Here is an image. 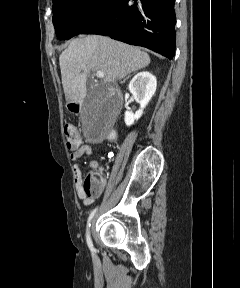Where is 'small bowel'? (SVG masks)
I'll list each match as a JSON object with an SVG mask.
<instances>
[{
    "label": "small bowel",
    "instance_id": "small-bowel-1",
    "mask_svg": "<svg viewBox=\"0 0 240 288\" xmlns=\"http://www.w3.org/2000/svg\"><path fill=\"white\" fill-rule=\"evenodd\" d=\"M91 154H92V147L87 144L81 145L70 154V159L73 163L72 170L74 175V186L76 189V193L78 197L83 200L86 206L92 205L94 203L95 198L101 195L106 186L103 167L99 164L98 161L92 160L86 165V168L89 169L88 175H94L98 178L100 182V190L96 195L92 197H87L83 192L82 165L80 163V158L83 156H89Z\"/></svg>",
    "mask_w": 240,
    "mask_h": 288
}]
</instances>
